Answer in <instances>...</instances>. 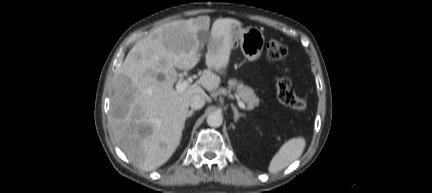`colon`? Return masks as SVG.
<instances>
[{"label":"colon","mask_w":432,"mask_h":193,"mask_svg":"<svg viewBox=\"0 0 432 193\" xmlns=\"http://www.w3.org/2000/svg\"><path fill=\"white\" fill-rule=\"evenodd\" d=\"M267 55L271 60L283 61L288 55L286 46L277 39H272L266 46ZM277 97L281 104L297 111H304L308 107V101L298 96L292 89L291 79L288 75H282L276 83Z\"/></svg>","instance_id":"obj_1"}]
</instances>
